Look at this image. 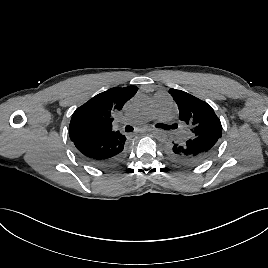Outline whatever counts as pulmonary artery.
Here are the masks:
<instances>
[{
	"label": "pulmonary artery",
	"mask_w": 268,
	"mask_h": 268,
	"mask_svg": "<svg viewBox=\"0 0 268 268\" xmlns=\"http://www.w3.org/2000/svg\"><path fill=\"white\" fill-rule=\"evenodd\" d=\"M170 97L165 93H156L152 99V103L135 118L134 122H147L149 120L159 118L162 121L170 120L169 113ZM129 121V119H124ZM186 135V132H184Z\"/></svg>",
	"instance_id": "obj_1"
}]
</instances>
